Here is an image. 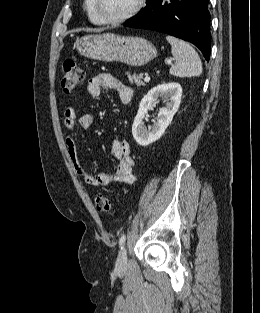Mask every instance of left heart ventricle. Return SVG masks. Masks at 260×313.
Listing matches in <instances>:
<instances>
[{"label": "left heart ventricle", "instance_id": "1", "mask_svg": "<svg viewBox=\"0 0 260 313\" xmlns=\"http://www.w3.org/2000/svg\"><path fill=\"white\" fill-rule=\"evenodd\" d=\"M136 0H99V7L104 16L117 18L126 14Z\"/></svg>", "mask_w": 260, "mask_h": 313}]
</instances>
